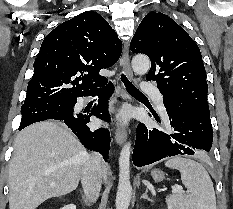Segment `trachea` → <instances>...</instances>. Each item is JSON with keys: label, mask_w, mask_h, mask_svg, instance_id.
Returning <instances> with one entry per match:
<instances>
[{"label": "trachea", "mask_w": 233, "mask_h": 209, "mask_svg": "<svg viewBox=\"0 0 233 209\" xmlns=\"http://www.w3.org/2000/svg\"><path fill=\"white\" fill-rule=\"evenodd\" d=\"M121 80L123 81L127 91L130 93V94H133V95H140V96H145L142 92H140L128 79L127 77L122 74L121 75Z\"/></svg>", "instance_id": "trachea-1"}]
</instances>
